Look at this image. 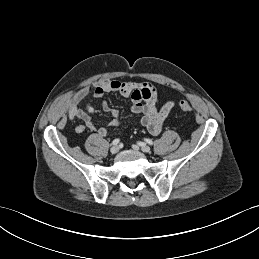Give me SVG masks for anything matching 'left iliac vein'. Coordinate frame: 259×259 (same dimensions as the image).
Listing matches in <instances>:
<instances>
[{"instance_id": "obj_1", "label": "left iliac vein", "mask_w": 259, "mask_h": 259, "mask_svg": "<svg viewBox=\"0 0 259 259\" xmlns=\"http://www.w3.org/2000/svg\"><path fill=\"white\" fill-rule=\"evenodd\" d=\"M133 147L136 149V146H133ZM141 150L145 153H148L150 152V147L144 144V145H141Z\"/></svg>"}]
</instances>
